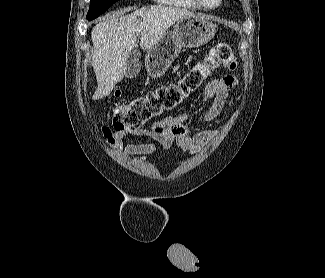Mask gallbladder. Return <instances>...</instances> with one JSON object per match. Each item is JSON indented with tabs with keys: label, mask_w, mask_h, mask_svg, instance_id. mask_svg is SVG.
<instances>
[{
	"label": "gallbladder",
	"mask_w": 325,
	"mask_h": 278,
	"mask_svg": "<svg viewBox=\"0 0 325 278\" xmlns=\"http://www.w3.org/2000/svg\"><path fill=\"white\" fill-rule=\"evenodd\" d=\"M140 52L138 49L133 48L127 58V70L125 77L134 78L140 71Z\"/></svg>",
	"instance_id": "gallbladder-1"
}]
</instances>
